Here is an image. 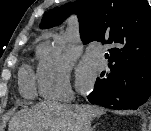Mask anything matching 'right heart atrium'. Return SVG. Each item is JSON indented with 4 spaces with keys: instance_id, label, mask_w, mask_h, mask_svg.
I'll use <instances>...</instances> for the list:
<instances>
[{
    "instance_id": "d8ad5b80",
    "label": "right heart atrium",
    "mask_w": 151,
    "mask_h": 131,
    "mask_svg": "<svg viewBox=\"0 0 151 131\" xmlns=\"http://www.w3.org/2000/svg\"><path fill=\"white\" fill-rule=\"evenodd\" d=\"M71 63L61 50L53 48L39 59L36 80L40 94L47 99L67 98L72 94Z\"/></svg>"
}]
</instances>
